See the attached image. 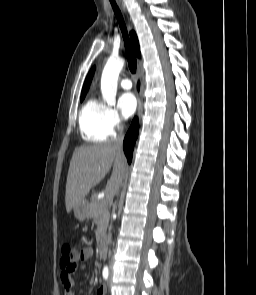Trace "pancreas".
Instances as JSON below:
<instances>
[{"instance_id":"cf45deb5","label":"pancreas","mask_w":256,"mask_h":295,"mask_svg":"<svg viewBox=\"0 0 256 295\" xmlns=\"http://www.w3.org/2000/svg\"><path fill=\"white\" fill-rule=\"evenodd\" d=\"M88 217L93 218V221L97 224L96 240L99 241L109 221L107 200H93L88 206Z\"/></svg>"}]
</instances>
